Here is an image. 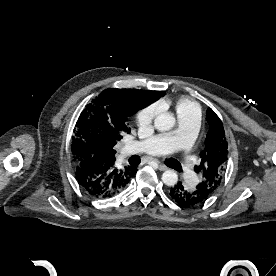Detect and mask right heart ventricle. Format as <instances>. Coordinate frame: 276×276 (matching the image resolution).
Instances as JSON below:
<instances>
[{
    "label": "right heart ventricle",
    "mask_w": 276,
    "mask_h": 276,
    "mask_svg": "<svg viewBox=\"0 0 276 276\" xmlns=\"http://www.w3.org/2000/svg\"><path fill=\"white\" fill-rule=\"evenodd\" d=\"M177 114L186 113V112H196L200 113V106L191 100L182 99L176 103Z\"/></svg>",
    "instance_id": "obj_1"
}]
</instances>
